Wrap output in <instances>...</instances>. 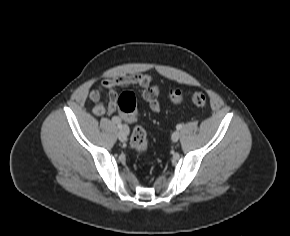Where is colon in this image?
<instances>
[{"instance_id": "5ec220e1", "label": "colon", "mask_w": 290, "mask_h": 236, "mask_svg": "<svg viewBox=\"0 0 290 236\" xmlns=\"http://www.w3.org/2000/svg\"><path fill=\"white\" fill-rule=\"evenodd\" d=\"M170 100L179 104L184 101V95L180 90H173L170 92ZM190 101L194 106L203 107L207 103V97L203 92L197 91L190 96ZM118 109L133 122L136 120V97L131 91L122 92L117 98ZM131 148L143 153L148 148V136L146 130L142 126H135L130 137Z\"/></svg>"}]
</instances>
